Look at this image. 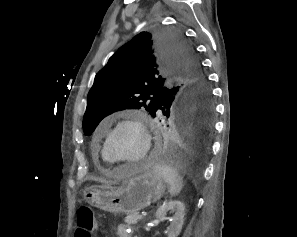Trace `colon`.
Wrapping results in <instances>:
<instances>
[{
	"instance_id": "obj_1",
	"label": "colon",
	"mask_w": 297,
	"mask_h": 237,
	"mask_svg": "<svg viewBox=\"0 0 297 237\" xmlns=\"http://www.w3.org/2000/svg\"><path fill=\"white\" fill-rule=\"evenodd\" d=\"M95 220L92 210L81 206L77 210V227L75 237H93Z\"/></svg>"
}]
</instances>
